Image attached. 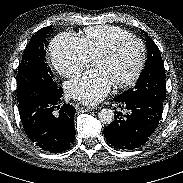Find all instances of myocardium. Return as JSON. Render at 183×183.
Wrapping results in <instances>:
<instances>
[{"label": "myocardium", "mask_w": 183, "mask_h": 183, "mask_svg": "<svg viewBox=\"0 0 183 183\" xmlns=\"http://www.w3.org/2000/svg\"><path fill=\"white\" fill-rule=\"evenodd\" d=\"M136 42L140 45L141 48V57H140V61L135 69V71L132 73V75L130 77H128L127 79L115 83L113 84V87L115 89H122V88H126L132 84H134L137 79L139 78V76L141 75L145 63H146V59H147V48L146 45L144 44V42L134 36H129V37H124L121 39L116 40L115 42H113L111 45H109L107 48H105L104 50H102L101 52H99L93 59H103V58H109L111 57L113 54H115V52L125 43L127 42Z\"/></svg>", "instance_id": "obj_1"}]
</instances>
